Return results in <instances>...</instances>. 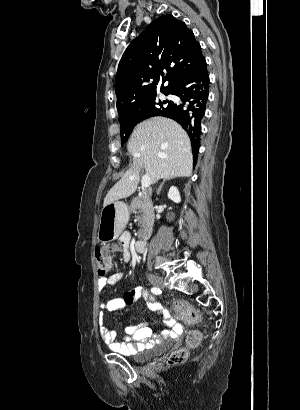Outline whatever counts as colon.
<instances>
[{
  "label": "colon",
  "instance_id": "colon-1",
  "mask_svg": "<svg viewBox=\"0 0 300 410\" xmlns=\"http://www.w3.org/2000/svg\"><path fill=\"white\" fill-rule=\"evenodd\" d=\"M95 259L100 275H105L114 266L112 256L107 251L100 248H96L95 250ZM173 308L184 320H186L187 326H192L193 323L198 322L200 319L198 311L184 301H175L173 303ZM200 342L201 334L197 331H191L187 336V348L172 351L167 356V363L169 365H177L184 362L188 356V348L196 347Z\"/></svg>",
  "mask_w": 300,
  "mask_h": 410
}]
</instances>
